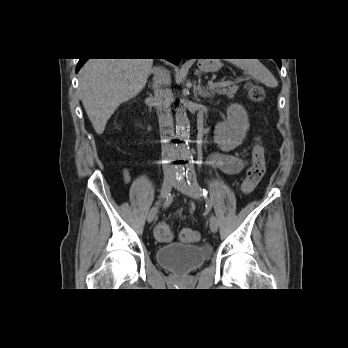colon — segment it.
I'll use <instances>...</instances> for the list:
<instances>
[{"label": "colon", "mask_w": 348, "mask_h": 348, "mask_svg": "<svg viewBox=\"0 0 348 348\" xmlns=\"http://www.w3.org/2000/svg\"><path fill=\"white\" fill-rule=\"evenodd\" d=\"M249 94L252 100L261 101L264 98V91L258 85L249 86ZM266 170L265 149L261 141L257 138L252 150V161L246 170L245 179L242 184L244 193L251 192L259 180L262 178ZM155 237L162 242H168L172 239V231L168 224L161 222L155 227ZM180 240L182 242H195L199 239V234L189 228L180 231Z\"/></svg>", "instance_id": "1"}]
</instances>
